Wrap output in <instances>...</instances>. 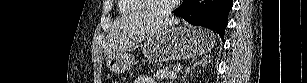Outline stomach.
Listing matches in <instances>:
<instances>
[{"instance_id": "1", "label": "stomach", "mask_w": 307, "mask_h": 83, "mask_svg": "<svg viewBox=\"0 0 307 83\" xmlns=\"http://www.w3.org/2000/svg\"><path fill=\"white\" fill-rule=\"evenodd\" d=\"M210 31L194 27H172L149 37L143 44L144 55L154 62L182 60L204 54L214 44ZM134 57L126 52H116L106 58L110 71L121 74L128 71Z\"/></svg>"}]
</instances>
